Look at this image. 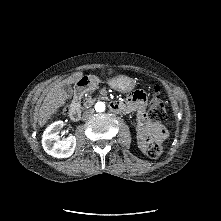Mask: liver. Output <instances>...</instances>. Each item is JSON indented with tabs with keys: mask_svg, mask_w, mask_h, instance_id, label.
I'll return each instance as SVG.
<instances>
[{
	"mask_svg": "<svg viewBox=\"0 0 221 221\" xmlns=\"http://www.w3.org/2000/svg\"><path fill=\"white\" fill-rule=\"evenodd\" d=\"M83 77L82 72H76L67 79L56 83L47 93L43 103L39 109L38 125L44 126L52 115L58 112V109L66 103L68 95L63 89L65 84H73L78 82Z\"/></svg>",
	"mask_w": 221,
	"mask_h": 221,
	"instance_id": "obj_1",
	"label": "liver"
}]
</instances>
